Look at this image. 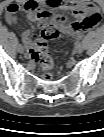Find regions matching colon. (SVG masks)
<instances>
[{"label": "colon", "mask_w": 104, "mask_h": 137, "mask_svg": "<svg viewBox=\"0 0 104 137\" xmlns=\"http://www.w3.org/2000/svg\"><path fill=\"white\" fill-rule=\"evenodd\" d=\"M39 23L42 29L41 36L35 42L32 58L46 71L45 77H50L53 68V56L48 41L61 36V31L53 24L49 13H39Z\"/></svg>", "instance_id": "1"}]
</instances>
